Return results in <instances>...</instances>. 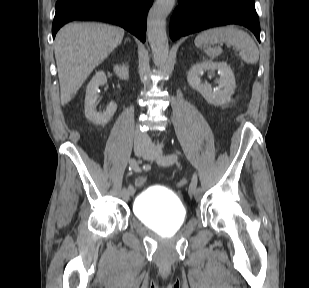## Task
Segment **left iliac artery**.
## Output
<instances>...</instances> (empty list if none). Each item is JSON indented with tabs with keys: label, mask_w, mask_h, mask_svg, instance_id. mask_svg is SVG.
<instances>
[{
	"label": "left iliac artery",
	"mask_w": 309,
	"mask_h": 288,
	"mask_svg": "<svg viewBox=\"0 0 309 288\" xmlns=\"http://www.w3.org/2000/svg\"><path fill=\"white\" fill-rule=\"evenodd\" d=\"M158 147L160 148V145H158ZM177 158L178 157L175 154H168L164 156L163 158H161L160 161H158V163L162 165H172L174 162L177 161ZM196 186H197V174H194L191 184L189 186V191H192L193 193H195Z\"/></svg>",
	"instance_id": "left-iliac-artery-1"
}]
</instances>
